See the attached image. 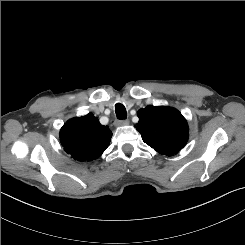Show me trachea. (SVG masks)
<instances>
[{
	"label": "trachea",
	"mask_w": 245,
	"mask_h": 245,
	"mask_svg": "<svg viewBox=\"0 0 245 245\" xmlns=\"http://www.w3.org/2000/svg\"><path fill=\"white\" fill-rule=\"evenodd\" d=\"M115 112H116V116L118 119H126L127 118L126 108L124 107L123 104L117 103L115 105Z\"/></svg>",
	"instance_id": "3493384b"
}]
</instances>
